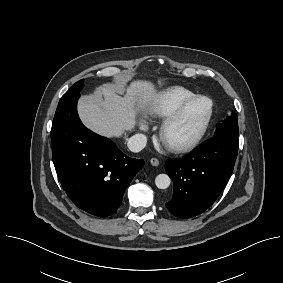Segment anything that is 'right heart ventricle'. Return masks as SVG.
<instances>
[{
  "label": "right heart ventricle",
  "mask_w": 283,
  "mask_h": 283,
  "mask_svg": "<svg viewBox=\"0 0 283 283\" xmlns=\"http://www.w3.org/2000/svg\"><path fill=\"white\" fill-rule=\"evenodd\" d=\"M195 95L194 92L182 86L167 88L155 97L149 108V115L165 119Z\"/></svg>",
  "instance_id": "right-heart-ventricle-1"
}]
</instances>
